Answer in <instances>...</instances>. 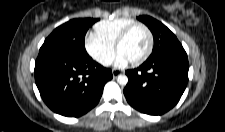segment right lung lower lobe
Segmentation results:
<instances>
[{"mask_svg": "<svg viewBox=\"0 0 225 132\" xmlns=\"http://www.w3.org/2000/svg\"><path fill=\"white\" fill-rule=\"evenodd\" d=\"M34 73L46 105L67 117H79L96 106L104 85L113 77L110 69L89 55L54 50H40Z\"/></svg>", "mask_w": 225, "mask_h": 132, "instance_id": "obj_1", "label": "right lung lower lobe"}]
</instances>
